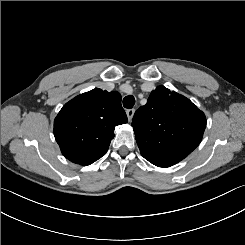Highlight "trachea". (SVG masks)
I'll use <instances>...</instances> for the list:
<instances>
[{
    "mask_svg": "<svg viewBox=\"0 0 245 245\" xmlns=\"http://www.w3.org/2000/svg\"><path fill=\"white\" fill-rule=\"evenodd\" d=\"M135 104V98L133 96H126L123 99V106L127 109H131Z\"/></svg>",
    "mask_w": 245,
    "mask_h": 245,
    "instance_id": "1",
    "label": "trachea"
}]
</instances>
